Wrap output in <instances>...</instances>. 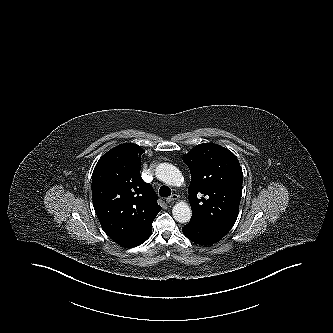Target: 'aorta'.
I'll list each match as a JSON object with an SVG mask.
<instances>
[{
  "mask_svg": "<svg viewBox=\"0 0 333 333\" xmlns=\"http://www.w3.org/2000/svg\"><path fill=\"white\" fill-rule=\"evenodd\" d=\"M156 177L167 185L179 186L182 174L177 167L169 163H161L156 167ZM173 218L179 223H187L191 219V208L183 201L175 204L172 209Z\"/></svg>",
  "mask_w": 333,
  "mask_h": 333,
  "instance_id": "1",
  "label": "aorta"
}]
</instances>
